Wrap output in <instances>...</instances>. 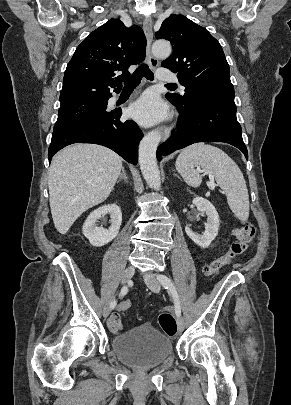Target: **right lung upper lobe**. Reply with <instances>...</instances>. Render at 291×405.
<instances>
[{
    "mask_svg": "<svg viewBox=\"0 0 291 405\" xmlns=\"http://www.w3.org/2000/svg\"><path fill=\"white\" fill-rule=\"evenodd\" d=\"M145 49L140 27L127 28L119 19H110L77 47L64 74L60 102L110 98V90H121L128 67L144 59ZM118 71L123 73L116 76Z\"/></svg>",
    "mask_w": 291,
    "mask_h": 405,
    "instance_id": "1",
    "label": "right lung upper lobe"
}]
</instances>
